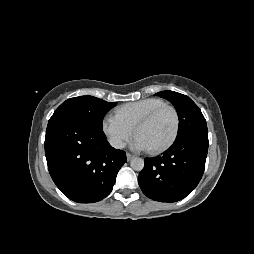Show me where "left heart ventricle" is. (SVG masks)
<instances>
[{"instance_id":"b2bd125f","label":"left heart ventricle","mask_w":254,"mask_h":254,"mask_svg":"<svg viewBox=\"0 0 254 254\" xmlns=\"http://www.w3.org/2000/svg\"><path fill=\"white\" fill-rule=\"evenodd\" d=\"M174 128V115L170 109L160 111L148 124L141 127L137 135L142 137L149 149L166 142Z\"/></svg>"}]
</instances>
